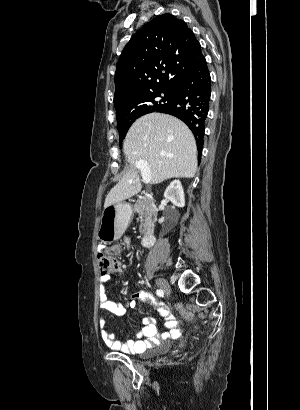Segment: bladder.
<instances>
[{
    "label": "bladder",
    "mask_w": 300,
    "mask_h": 410,
    "mask_svg": "<svg viewBox=\"0 0 300 410\" xmlns=\"http://www.w3.org/2000/svg\"><path fill=\"white\" fill-rule=\"evenodd\" d=\"M171 347V341H167V342H165V343H163L162 345H160L158 348H156L155 350L156 351H159V352H164V351H167L169 348ZM146 355L147 354H149L148 352L147 353H145Z\"/></svg>",
    "instance_id": "obj_1"
}]
</instances>
